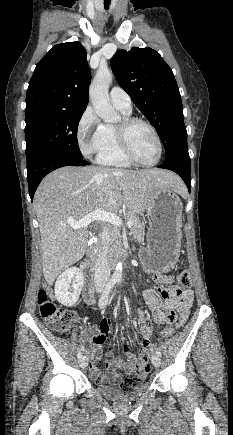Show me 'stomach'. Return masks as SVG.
<instances>
[{
  "label": "stomach",
  "mask_w": 233,
  "mask_h": 435,
  "mask_svg": "<svg viewBox=\"0 0 233 435\" xmlns=\"http://www.w3.org/2000/svg\"><path fill=\"white\" fill-rule=\"evenodd\" d=\"M182 210V201L172 189L159 191L146 209L147 247L140 251L146 272L167 273L175 266L181 247Z\"/></svg>",
  "instance_id": "obj_1"
}]
</instances>
